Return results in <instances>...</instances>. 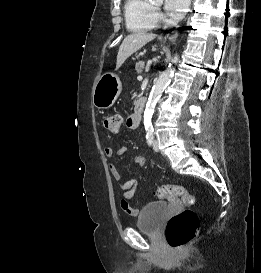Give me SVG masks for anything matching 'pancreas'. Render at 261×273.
<instances>
[{
	"label": "pancreas",
	"instance_id": "1",
	"mask_svg": "<svg viewBox=\"0 0 261 273\" xmlns=\"http://www.w3.org/2000/svg\"><path fill=\"white\" fill-rule=\"evenodd\" d=\"M145 68V63L144 61H139L135 65V70L137 71L138 74L142 73L143 69Z\"/></svg>",
	"mask_w": 261,
	"mask_h": 273
}]
</instances>
